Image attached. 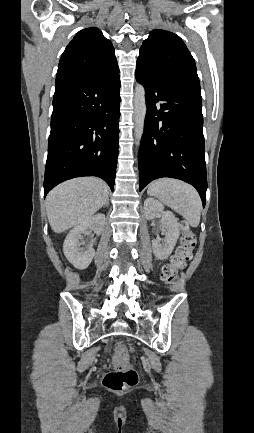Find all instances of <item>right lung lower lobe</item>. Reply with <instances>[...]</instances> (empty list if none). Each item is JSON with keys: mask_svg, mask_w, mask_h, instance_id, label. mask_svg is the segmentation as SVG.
Masks as SVG:
<instances>
[{"mask_svg": "<svg viewBox=\"0 0 254 433\" xmlns=\"http://www.w3.org/2000/svg\"><path fill=\"white\" fill-rule=\"evenodd\" d=\"M120 86L119 69L55 85L44 197L59 183L81 176L100 177L113 190Z\"/></svg>", "mask_w": 254, "mask_h": 433, "instance_id": "right-lung-lower-lobe-1", "label": "right lung lower lobe"}]
</instances>
